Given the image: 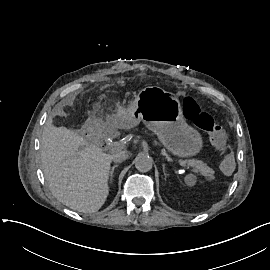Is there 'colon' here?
I'll return each mask as SVG.
<instances>
[{
    "instance_id": "1",
    "label": "colon",
    "mask_w": 270,
    "mask_h": 270,
    "mask_svg": "<svg viewBox=\"0 0 270 270\" xmlns=\"http://www.w3.org/2000/svg\"><path fill=\"white\" fill-rule=\"evenodd\" d=\"M182 107L186 118L205 131L211 144L222 152V170L226 174H231L235 170V155L227 146V137L222 127L207 112L202 111L192 98H184Z\"/></svg>"
}]
</instances>
